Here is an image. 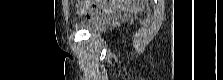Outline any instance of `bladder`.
Instances as JSON below:
<instances>
[{
    "label": "bladder",
    "instance_id": "1",
    "mask_svg": "<svg viewBox=\"0 0 223 80\" xmlns=\"http://www.w3.org/2000/svg\"><path fill=\"white\" fill-rule=\"evenodd\" d=\"M109 15H96L80 21L76 27L89 33H97L105 29L110 23Z\"/></svg>",
    "mask_w": 223,
    "mask_h": 80
}]
</instances>
